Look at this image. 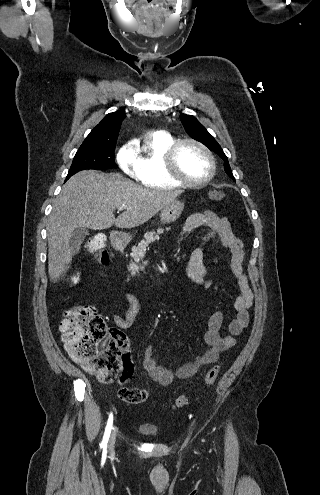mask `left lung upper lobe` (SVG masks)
Here are the masks:
<instances>
[{
  "label": "left lung upper lobe",
  "mask_w": 320,
  "mask_h": 495,
  "mask_svg": "<svg viewBox=\"0 0 320 495\" xmlns=\"http://www.w3.org/2000/svg\"><path fill=\"white\" fill-rule=\"evenodd\" d=\"M180 119L188 135L203 143L210 150L216 152L224 160V170L230 178L235 180L231 168L228 163L227 156L224 154L221 146L217 143L214 137L206 130V128L192 115L182 114Z\"/></svg>",
  "instance_id": "obj_1"
}]
</instances>
